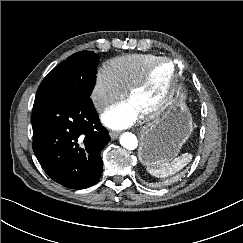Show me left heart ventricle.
Here are the masks:
<instances>
[{"label": "left heart ventricle", "instance_id": "obj_1", "mask_svg": "<svg viewBox=\"0 0 243 243\" xmlns=\"http://www.w3.org/2000/svg\"><path fill=\"white\" fill-rule=\"evenodd\" d=\"M172 77V67L167 63L159 64L148 83L135 92L129 101L139 110L143 111L157 103L164 94Z\"/></svg>", "mask_w": 243, "mask_h": 243}]
</instances>
